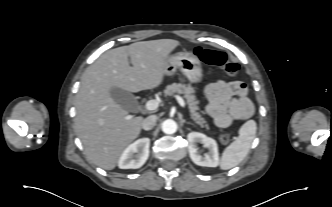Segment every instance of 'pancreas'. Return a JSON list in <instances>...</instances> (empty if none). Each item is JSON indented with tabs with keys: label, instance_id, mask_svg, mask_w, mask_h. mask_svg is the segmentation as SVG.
Segmentation results:
<instances>
[{
	"label": "pancreas",
	"instance_id": "pancreas-1",
	"mask_svg": "<svg viewBox=\"0 0 332 207\" xmlns=\"http://www.w3.org/2000/svg\"><path fill=\"white\" fill-rule=\"evenodd\" d=\"M194 92H195L194 88H192L190 85H184L181 83H173L171 85H168L164 90L165 95L169 96L173 95L174 93L183 94L188 104L190 110V116L193 119V121L196 124L200 125L201 127L209 129L207 121L203 117H201V115L198 112L199 101L195 97Z\"/></svg>",
	"mask_w": 332,
	"mask_h": 207
}]
</instances>
